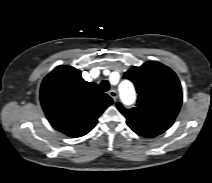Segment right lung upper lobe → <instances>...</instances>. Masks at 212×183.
<instances>
[{
	"label": "right lung upper lobe",
	"instance_id": "1",
	"mask_svg": "<svg viewBox=\"0 0 212 183\" xmlns=\"http://www.w3.org/2000/svg\"><path fill=\"white\" fill-rule=\"evenodd\" d=\"M40 100L51 125L70 137L87 134L112 104L110 96L71 66H59L44 78Z\"/></svg>",
	"mask_w": 212,
	"mask_h": 183
}]
</instances>
